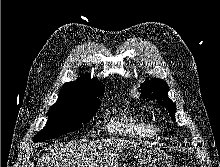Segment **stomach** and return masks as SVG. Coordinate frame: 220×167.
Instances as JSON below:
<instances>
[{
    "label": "stomach",
    "instance_id": "obj_1",
    "mask_svg": "<svg viewBox=\"0 0 220 167\" xmlns=\"http://www.w3.org/2000/svg\"><path fill=\"white\" fill-rule=\"evenodd\" d=\"M113 167H172V163L156 145L147 142L125 146Z\"/></svg>",
    "mask_w": 220,
    "mask_h": 167
}]
</instances>
